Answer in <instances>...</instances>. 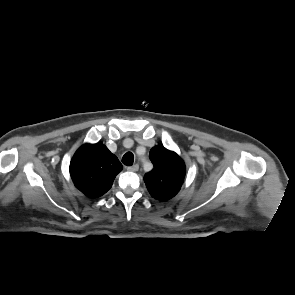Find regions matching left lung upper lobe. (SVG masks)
<instances>
[{
	"instance_id": "1",
	"label": "left lung upper lobe",
	"mask_w": 295,
	"mask_h": 295,
	"mask_svg": "<svg viewBox=\"0 0 295 295\" xmlns=\"http://www.w3.org/2000/svg\"><path fill=\"white\" fill-rule=\"evenodd\" d=\"M149 157L154 168L144 176L147 189L153 198L168 201L180 191L186 173L185 163L175 152L161 145L154 146Z\"/></svg>"
}]
</instances>
